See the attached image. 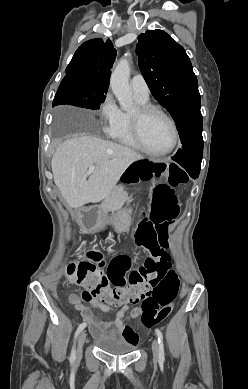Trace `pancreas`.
<instances>
[{
  "label": "pancreas",
  "mask_w": 248,
  "mask_h": 389,
  "mask_svg": "<svg viewBox=\"0 0 248 389\" xmlns=\"http://www.w3.org/2000/svg\"><path fill=\"white\" fill-rule=\"evenodd\" d=\"M128 200V193L122 186L118 185L114 187L109 196L99 206V220H106L111 211H119Z\"/></svg>",
  "instance_id": "obj_1"
}]
</instances>
